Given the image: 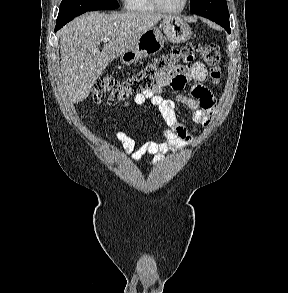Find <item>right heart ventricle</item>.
Here are the masks:
<instances>
[{"instance_id": "obj_1", "label": "right heart ventricle", "mask_w": 288, "mask_h": 293, "mask_svg": "<svg viewBox=\"0 0 288 293\" xmlns=\"http://www.w3.org/2000/svg\"><path fill=\"white\" fill-rule=\"evenodd\" d=\"M125 8L132 12H155L157 8L151 0H124Z\"/></svg>"}]
</instances>
